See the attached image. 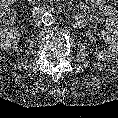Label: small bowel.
Instances as JSON below:
<instances>
[{
  "mask_svg": "<svg viewBox=\"0 0 118 118\" xmlns=\"http://www.w3.org/2000/svg\"><path fill=\"white\" fill-rule=\"evenodd\" d=\"M91 7L94 10L103 11L108 17H110L112 21V27L118 33V8L107 4V0H92Z\"/></svg>",
  "mask_w": 118,
  "mask_h": 118,
  "instance_id": "c3829d8e",
  "label": "small bowel"
}]
</instances>
